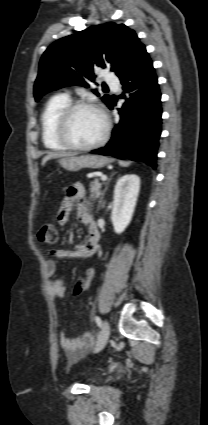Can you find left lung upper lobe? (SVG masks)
Segmentation results:
<instances>
[{
    "instance_id": "5c2ea615",
    "label": "left lung upper lobe",
    "mask_w": 208,
    "mask_h": 425,
    "mask_svg": "<svg viewBox=\"0 0 208 425\" xmlns=\"http://www.w3.org/2000/svg\"><path fill=\"white\" fill-rule=\"evenodd\" d=\"M146 53L134 30L124 24L108 22L91 26L51 44L41 57L34 85L35 100L44 94L69 85L88 87L94 81V68L109 67L121 79ZM95 94L99 95L96 91ZM103 102L111 103L109 95Z\"/></svg>"
}]
</instances>
